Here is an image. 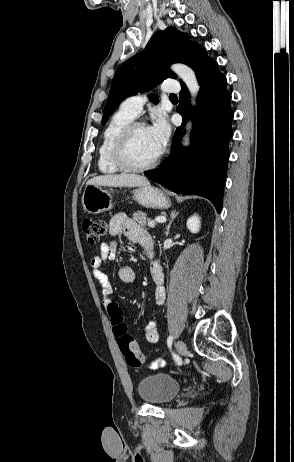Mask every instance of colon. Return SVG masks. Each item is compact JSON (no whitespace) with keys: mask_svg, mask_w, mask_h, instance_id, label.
Returning <instances> with one entry per match:
<instances>
[{"mask_svg":"<svg viewBox=\"0 0 294 462\" xmlns=\"http://www.w3.org/2000/svg\"><path fill=\"white\" fill-rule=\"evenodd\" d=\"M82 229L87 242L90 245H97L106 234L107 225L102 219L86 218L82 222ZM106 309L111 320L113 333L127 364L133 369H141L144 366L145 360L134 339L127 332L121 309L114 301L110 302L106 306Z\"/></svg>","mask_w":294,"mask_h":462,"instance_id":"obj_1","label":"colon"}]
</instances>
